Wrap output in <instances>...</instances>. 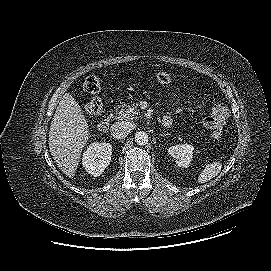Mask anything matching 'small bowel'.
I'll return each instance as SVG.
<instances>
[{
	"instance_id": "c3829d8e",
	"label": "small bowel",
	"mask_w": 271,
	"mask_h": 271,
	"mask_svg": "<svg viewBox=\"0 0 271 271\" xmlns=\"http://www.w3.org/2000/svg\"><path fill=\"white\" fill-rule=\"evenodd\" d=\"M171 119L170 116H165ZM229 117V110L228 108L222 103H215L210 113L203 119V125L209 129H221L222 126L225 124L226 120Z\"/></svg>"
}]
</instances>
